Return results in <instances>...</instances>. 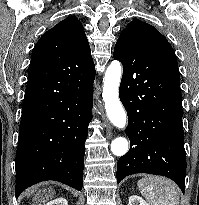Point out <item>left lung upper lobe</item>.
<instances>
[{
    "instance_id": "5c2ea615",
    "label": "left lung upper lobe",
    "mask_w": 199,
    "mask_h": 205,
    "mask_svg": "<svg viewBox=\"0 0 199 205\" xmlns=\"http://www.w3.org/2000/svg\"><path fill=\"white\" fill-rule=\"evenodd\" d=\"M120 36L128 37L137 45L156 54L180 82L178 63L174 50L167 39L157 29L143 21L133 20L121 32Z\"/></svg>"
}]
</instances>
